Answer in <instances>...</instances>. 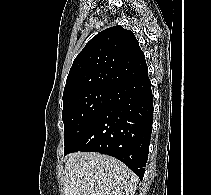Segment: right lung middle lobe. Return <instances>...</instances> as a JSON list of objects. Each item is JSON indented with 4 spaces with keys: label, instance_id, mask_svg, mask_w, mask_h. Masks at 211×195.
I'll return each instance as SVG.
<instances>
[{
    "label": "right lung middle lobe",
    "instance_id": "1",
    "mask_svg": "<svg viewBox=\"0 0 211 195\" xmlns=\"http://www.w3.org/2000/svg\"><path fill=\"white\" fill-rule=\"evenodd\" d=\"M111 89L94 88L63 100L65 152L70 150L106 106Z\"/></svg>",
    "mask_w": 211,
    "mask_h": 195
}]
</instances>
